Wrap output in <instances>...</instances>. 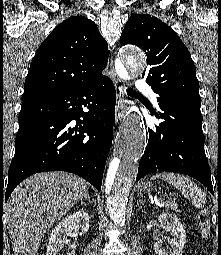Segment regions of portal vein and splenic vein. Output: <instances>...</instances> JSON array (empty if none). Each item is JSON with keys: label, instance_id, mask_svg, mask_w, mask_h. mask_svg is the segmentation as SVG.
<instances>
[{"label": "portal vein and splenic vein", "instance_id": "1", "mask_svg": "<svg viewBox=\"0 0 221 255\" xmlns=\"http://www.w3.org/2000/svg\"><path fill=\"white\" fill-rule=\"evenodd\" d=\"M164 203H166V204H167V203H171V202H164Z\"/></svg>", "mask_w": 221, "mask_h": 255}]
</instances>
